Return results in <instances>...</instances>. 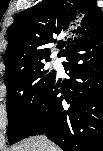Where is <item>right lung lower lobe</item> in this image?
Wrapping results in <instances>:
<instances>
[{"label": "right lung lower lobe", "instance_id": "obj_1", "mask_svg": "<svg viewBox=\"0 0 103 151\" xmlns=\"http://www.w3.org/2000/svg\"><path fill=\"white\" fill-rule=\"evenodd\" d=\"M63 56L70 79L55 78L20 140L45 133L64 151L93 150L103 126V28L81 36Z\"/></svg>", "mask_w": 103, "mask_h": 151}]
</instances>
